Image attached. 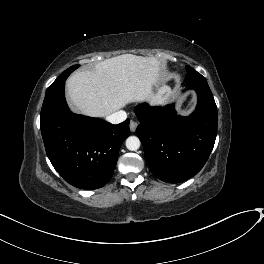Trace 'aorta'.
<instances>
[{
    "mask_svg": "<svg viewBox=\"0 0 264 264\" xmlns=\"http://www.w3.org/2000/svg\"><path fill=\"white\" fill-rule=\"evenodd\" d=\"M140 144H141L140 143V140L136 136H129L126 139V147L130 151H136V150H138L139 147H140Z\"/></svg>",
    "mask_w": 264,
    "mask_h": 264,
    "instance_id": "aorta-1",
    "label": "aorta"
}]
</instances>
